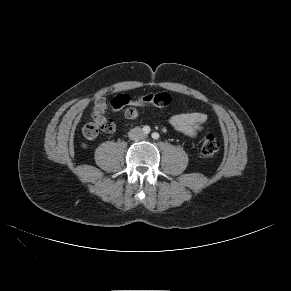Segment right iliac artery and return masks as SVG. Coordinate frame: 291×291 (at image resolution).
I'll list each match as a JSON object with an SVG mask.
<instances>
[{
  "mask_svg": "<svg viewBox=\"0 0 291 291\" xmlns=\"http://www.w3.org/2000/svg\"><path fill=\"white\" fill-rule=\"evenodd\" d=\"M142 130H143V132H144L145 134H148V133H150V130H151V129H150L149 126H144Z\"/></svg>",
  "mask_w": 291,
  "mask_h": 291,
  "instance_id": "obj_1",
  "label": "right iliac artery"
}]
</instances>
